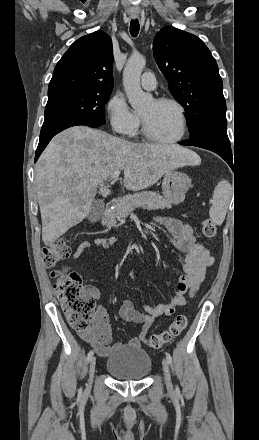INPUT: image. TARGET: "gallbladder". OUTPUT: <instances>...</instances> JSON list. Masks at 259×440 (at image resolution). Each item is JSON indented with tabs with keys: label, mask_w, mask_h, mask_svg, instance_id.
<instances>
[{
	"label": "gallbladder",
	"mask_w": 259,
	"mask_h": 440,
	"mask_svg": "<svg viewBox=\"0 0 259 440\" xmlns=\"http://www.w3.org/2000/svg\"><path fill=\"white\" fill-rule=\"evenodd\" d=\"M103 211H104V203L101 200H96L93 203L92 208L87 215L88 220L91 222H96L100 220Z\"/></svg>",
	"instance_id": "1"
}]
</instances>
